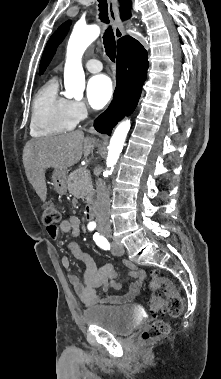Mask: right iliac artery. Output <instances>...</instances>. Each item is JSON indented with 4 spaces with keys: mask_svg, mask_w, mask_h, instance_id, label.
<instances>
[{
    "mask_svg": "<svg viewBox=\"0 0 221 379\" xmlns=\"http://www.w3.org/2000/svg\"><path fill=\"white\" fill-rule=\"evenodd\" d=\"M95 227H96V224H95V223H89V224H88V229H89L90 231H93V230L95 229Z\"/></svg>",
    "mask_w": 221,
    "mask_h": 379,
    "instance_id": "82829eb1",
    "label": "right iliac artery"
}]
</instances>
